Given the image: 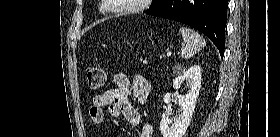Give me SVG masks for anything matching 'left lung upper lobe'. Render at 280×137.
Segmentation results:
<instances>
[{
	"instance_id": "obj_1",
	"label": "left lung upper lobe",
	"mask_w": 280,
	"mask_h": 137,
	"mask_svg": "<svg viewBox=\"0 0 280 137\" xmlns=\"http://www.w3.org/2000/svg\"><path fill=\"white\" fill-rule=\"evenodd\" d=\"M162 1H163V0H159V2H158L156 5H154L153 8H154L155 6H157L158 4H160ZM151 9H152V8H150L149 10H151Z\"/></svg>"
}]
</instances>
